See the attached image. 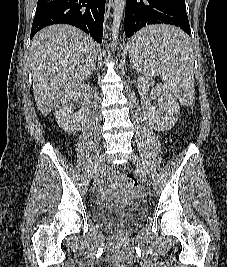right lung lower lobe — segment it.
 Returning a JSON list of instances; mask_svg holds the SVG:
<instances>
[{
    "label": "right lung lower lobe",
    "instance_id": "1",
    "mask_svg": "<svg viewBox=\"0 0 227 267\" xmlns=\"http://www.w3.org/2000/svg\"><path fill=\"white\" fill-rule=\"evenodd\" d=\"M106 0H38L31 35L52 24H71L102 42Z\"/></svg>",
    "mask_w": 227,
    "mask_h": 267
}]
</instances>
